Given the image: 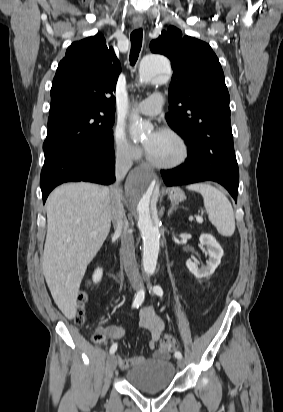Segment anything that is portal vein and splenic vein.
<instances>
[{
    "instance_id": "1",
    "label": "portal vein and splenic vein",
    "mask_w": 283,
    "mask_h": 412,
    "mask_svg": "<svg viewBox=\"0 0 283 412\" xmlns=\"http://www.w3.org/2000/svg\"><path fill=\"white\" fill-rule=\"evenodd\" d=\"M196 221H197L198 223H203V218L200 217V216H197V217H196Z\"/></svg>"
}]
</instances>
